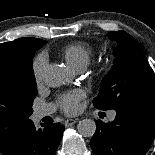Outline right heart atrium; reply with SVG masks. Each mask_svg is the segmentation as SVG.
Masks as SVG:
<instances>
[{
  "mask_svg": "<svg viewBox=\"0 0 155 155\" xmlns=\"http://www.w3.org/2000/svg\"><path fill=\"white\" fill-rule=\"evenodd\" d=\"M48 64V57L45 53L39 54L33 62V75L37 83L43 80Z\"/></svg>",
  "mask_w": 155,
  "mask_h": 155,
  "instance_id": "d8ad5b80",
  "label": "right heart atrium"
}]
</instances>
